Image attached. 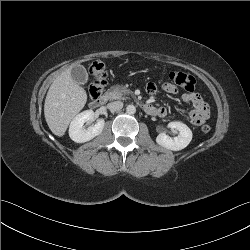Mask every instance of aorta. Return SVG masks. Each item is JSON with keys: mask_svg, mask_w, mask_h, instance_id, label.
<instances>
[{"mask_svg": "<svg viewBox=\"0 0 250 250\" xmlns=\"http://www.w3.org/2000/svg\"><path fill=\"white\" fill-rule=\"evenodd\" d=\"M126 112L128 113V114H135V112H136V107L134 106V105H132V104H130V105H128L127 107H126Z\"/></svg>", "mask_w": 250, "mask_h": 250, "instance_id": "1", "label": "aorta"}]
</instances>
